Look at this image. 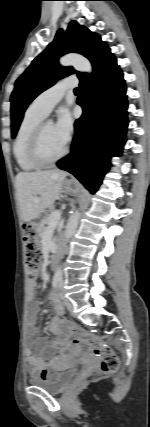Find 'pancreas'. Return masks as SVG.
<instances>
[{
    "label": "pancreas",
    "mask_w": 150,
    "mask_h": 427,
    "mask_svg": "<svg viewBox=\"0 0 150 427\" xmlns=\"http://www.w3.org/2000/svg\"><path fill=\"white\" fill-rule=\"evenodd\" d=\"M52 212L53 211H51L50 214L46 218H44V220H42L41 224L38 227V233L41 238L43 237L45 231L48 229L47 227H45V225L50 223V215ZM54 241H56V237L54 238Z\"/></svg>",
    "instance_id": "pancreas-1"
}]
</instances>
